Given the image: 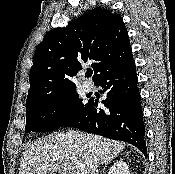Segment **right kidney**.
I'll return each instance as SVG.
<instances>
[{
  "instance_id": "1",
  "label": "right kidney",
  "mask_w": 175,
  "mask_h": 174,
  "mask_svg": "<svg viewBox=\"0 0 175 174\" xmlns=\"http://www.w3.org/2000/svg\"><path fill=\"white\" fill-rule=\"evenodd\" d=\"M108 174H130V171L127 164L120 160L110 167Z\"/></svg>"
}]
</instances>
